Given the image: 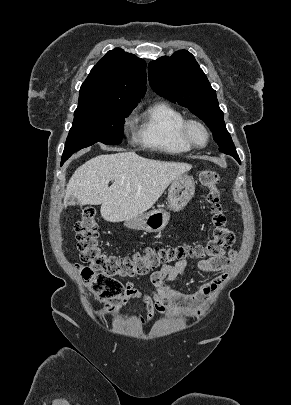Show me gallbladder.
<instances>
[{
    "instance_id": "1",
    "label": "gallbladder",
    "mask_w": 291,
    "mask_h": 405,
    "mask_svg": "<svg viewBox=\"0 0 291 405\" xmlns=\"http://www.w3.org/2000/svg\"><path fill=\"white\" fill-rule=\"evenodd\" d=\"M76 202H75V199H73L72 197L69 199V204H75Z\"/></svg>"
}]
</instances>
